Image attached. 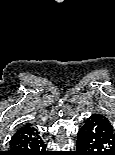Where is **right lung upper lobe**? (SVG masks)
Wrapping results in <instances>:
<instances>
[{"label":"right lung upper lobe","instance_id":"1","mask_svg":"<svg viewBox=\"0 0 115 155\" xmlns=\"http://www.w3.org/2000/svg\"><path fill=\"white\" fill-rule=\"evenodd\" d=\"M29 127H31V125H26L25 127L21 128L19 130H22V129H25V128H29Z\"/></svg>","mask_w":115,"mask_h":155}]
</instances>
